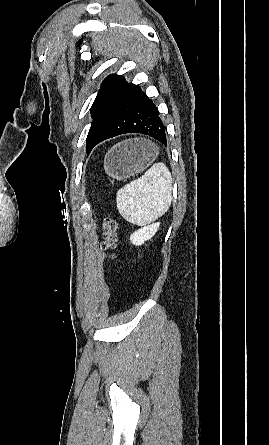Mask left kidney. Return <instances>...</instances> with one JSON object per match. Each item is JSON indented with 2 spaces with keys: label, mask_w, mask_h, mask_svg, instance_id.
Listing matches in <instances>:
<instances>
[{
  "label": "left kidney",
  "mask_w": 269,
  "mask_h": 445,
  "mask_svg": "<svg viewBox=\"0 0 269 445\" xmlns=\"http://www.w3.org/2000/svg\"><path fill=\"white\" fill-rule=\"evenodd\" d=\"M159 225L160 223L158 222L138 229L130 236V241L136 246L142 245L156 234Z\"/></svg>",
  "instance_id": "left-kidney-1"
}]
</instances>
